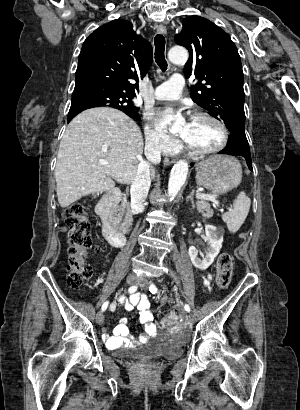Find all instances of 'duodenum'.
I'll return each instance as SVG.
<instances>
[{
	"label": "duodenum",
	"mask_w": 300,
	"mask_h": 410,
	"mask_svg": "<svg viewBox=\"0 0 300 410\" xmlns=\"http://www.w3.org/2000/svg\"><path fill=\"white\" fill-rule=\"evenodd\" d=\"M121 193L118 190H112L98 204V213L103 220L102 234L106 241L115 248L122 247L126 243V236L116 227L117 210L112 205L119 202Z\"/></svg>",
	"instance_id": "duodenum-1"
}]
</instances>
